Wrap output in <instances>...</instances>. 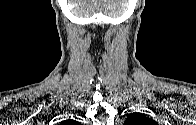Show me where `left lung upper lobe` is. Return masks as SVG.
<instances>
[{
  "instance_id": "1",
  "label": "left lung upper lobe",
  "mask_w": 196,
  "mask_h": 125,
  "mask_svg": "<svg viewBox=\"0 0 196 125\" xmlns=\"http://www.w3.org/2000/svg\"><path fill=\"white\" fill-rule=\"evenodd\" d=\"M125 125H155L156 122L140 113L130 114L124 123Z\"/></svg>"
}]
</instances>
